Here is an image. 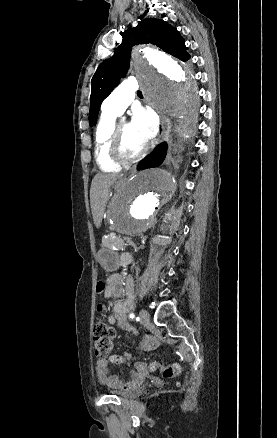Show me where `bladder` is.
<instances>
[{"label":"bladder","instance_id":"31cf9c89","mask_svg":"<svg viewBox=\"0 0 277 438\" xmlns=\"http://www.w3.org/2000/svg\"><path fill=\"white\" fill-rule=\"evenodd\" d=\"M142 383V381H136V382H132L131 384H129L126 389H121V390H115L112 391L113 393H115L117 396H119L120 398L124 399V400H129L130 398L136 397L139 390H140V384Z\"/></svg>","mask_w":277,"mask_h":438}]
</instances>
